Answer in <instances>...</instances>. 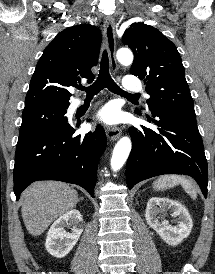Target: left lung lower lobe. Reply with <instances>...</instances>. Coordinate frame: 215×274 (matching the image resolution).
I'll return each instance as SVG.
<instances>
[{
  "mask_svg": "<svg viewBox=\"0 0 215 274\" xmlns=\"http://www.w3.org/2000/svg\"><path fill=\"white\" fill-rule=\"evenodd\" d=\"M151 113L152 117H146L153 128L141 125L129 129L128 188L158 175L184 174L193 177L207 197V161L196 116L168 108L152 109Z\"/></svg>",
  "mask_w": 215,
  "mask_h": 274,
  "instance_id": "1",
  "label": "left lung lower lobe"
}]
</instances>
